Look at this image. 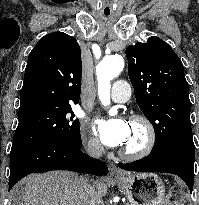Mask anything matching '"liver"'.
<instances>
[{
  "label": "liver",
  "mask_w": 199,
  "mask_h": 205,
  "mask_svg": "<svg viewBox=\"0 0 199 205\" xmlns=\"http://www.w3.org/2000/svg\"><path fill=\"white\" fill-rule=\"evenodd\" d=\"M85 180L83 176L66 171L30 175L25 179L19 205H89ZM95 187L101 198L107 194L104 179L95 181Z\"/></svg>",
  "instance_id": "obj_1"
}]
</instances>
